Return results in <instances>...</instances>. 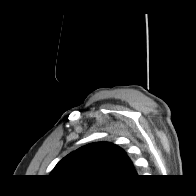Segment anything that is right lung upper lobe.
Returning a JSON list of instances; mask_svg holds the SVG:
<instances>
[{
  "instance_id": "right-lung-upper-lobe-1",
  "label": "right lung upper lobe",
  "mask_w": 196,
  "mask_h": 196,
  "mask_svg": "<svg viewBox=\"0 0 196 196\" xmlns=\"http://www.w3.org/2000/svg\"><path fill=\"white\" fill-rule=\"evenodd\" d=\"M90 183L117 182L136 176L126 153L115 144L95 142L64 157L50 174Z\"/></svg>"
}]
</instances>
